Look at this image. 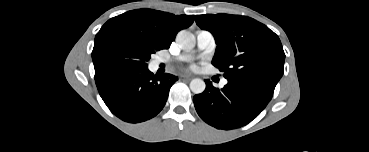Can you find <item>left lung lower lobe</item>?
<instances>
[{
	"mask_svg": "<svg viewBox=\"0 0 369 152\" xmlns=\"http://www.w3.org/2000/svg\"><path fill=\"white\" fill-rule=\"evenodd\" d=\"M206 89L195 95L198 115L217 129H235L256 118L267 106L275 87L268 84H246L228 80L221 90L205 80Z\"/></svg>",
	"mask_w": 369,
	"mask_h": 152,
	"instance_id": "0a47b994",
	"label": "left lung lower lobe"
}]
</instances>
